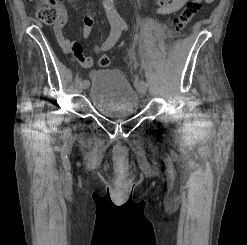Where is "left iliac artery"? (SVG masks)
<instances>
[{"label":"left iliac artery","mask_w":247,"mask_h":245,"mask_svg":"<svg viewBox=\"0 0 247 245\" xmlns=\"http://www.w3.org/2000/svg\"><path fill=\"white\" fill-rule=\"evenodd\" d=\"M120 27H121L122 29L126 30V29H127V24H126V23H122V24L120 25ZM140 84L146 85V86H147L146 82H144V81H140Z\"/></svg>","instance_id":"left-iliac-artery-1"}]
</instances>
